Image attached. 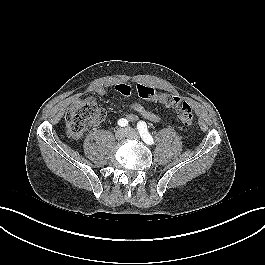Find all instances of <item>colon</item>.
I'll list each match as a JSON object with an SVG mask.
<instances>
[{"label":"colon","mask_w":265,"mask_h":265,"mask_svg":"<svg viewBox=\"0 0 265 265\" xmlns=\"http://www.w3.org/2000/svg\"><path fill=\"white\" fill-rule=\"evenodd\" d=\"M137 95L145 100L158 101L162 100L166 105L173 107L180 122L185 127H190L193 124L194 115L190 104L182 101L179 96L169 93H159L152 87L144 84L136 86ZM105 117V111L95 102H85L82 105L73 107L66 113V131L69 138L73 140L80 139L86 129L94 124H97Z\"/></svg>","instance_id":"colon-1"}]
</instances>
